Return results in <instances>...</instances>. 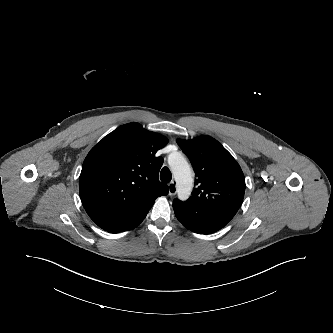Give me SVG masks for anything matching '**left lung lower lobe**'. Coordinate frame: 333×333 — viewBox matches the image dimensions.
Returning <instances> with one entry per match:
<instances>
[{"mask_svg": "<svg viewBox=\"0 0 333 333\" xmlns=\"http://www.w3.org/2000/svg\"><path fill=\"white\" fill-rule=\"evenodd\" d=\"M236 198H224L205 203L192 204L178 199L173 209L182 225L198 234H210L223 228L240 207Z\"/></svg>", "mask_w": 333, "mask_h": 333, "instance_id": "0a47b994", "label": "left lung lower lobe"}]
</instances>
